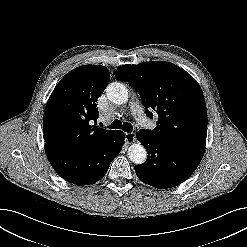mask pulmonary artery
I'll return each mask as SVG.
<instances>
[{"mask_svg":"<svg viewBox=\"0 0 247 247\" xmlns=\"http://www.w3.org/2000/svg\"><path fill=\"white\" fill-rule=\"evenodd\" d=\"M131 113L142 126L147 127L150 125V119L143 113L138 103L131 105Z\"/></svg>","mask_w":247,"mask_h":247,"instance_id":"e3ab8cb5","label":"pulmonary artery"}]
</instances>
